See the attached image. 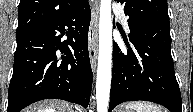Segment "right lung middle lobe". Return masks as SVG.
Here are the masks:
<instances>
[{"instance_id":"dd1d6c3e","label":"right lung middle lobe","mask_w":193,"mask_h":112,"mask_svg":"<svg viewBox=\"0 0 193 112\" xmlns=\"http://www.w3.org/2000/svg\"><path fill=\"white\" fill-rule=\"evenodd\" d=\"M26 33H28V32H17V33H16V37H19V36L24 35V34H26Z\"/></svg>"}]
</instances>
